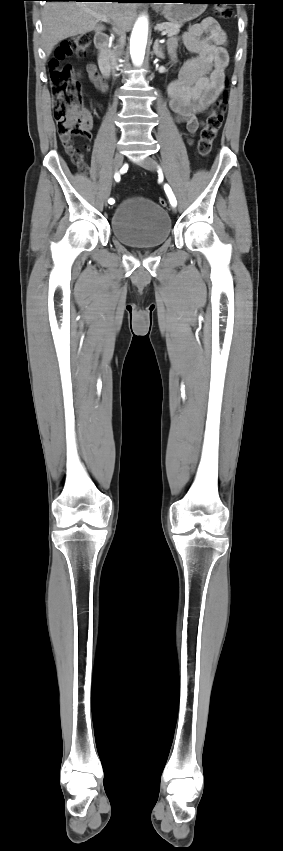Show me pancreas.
<instances>
[{"instance_id":"pancreas-1","label":"pancreas","mask_w":283,"mask_h":851,"mask_svg":"<svg viewBox=\"0 0 283 851\" xmlns=\"http://www.w3.org/2000/svg\"><path fill=\"white\" fill-rule=\"evenodd\" d=\"M181 26H182V24H179V23L163 22V23L157 24L155 29L156 30H163L167 33V35L169 37H171V36L177 35L180 32ZM112 53H113V51H112ZM112 53L110 52L109 54L112 55Z\"/></svg>"}]
</instances>
